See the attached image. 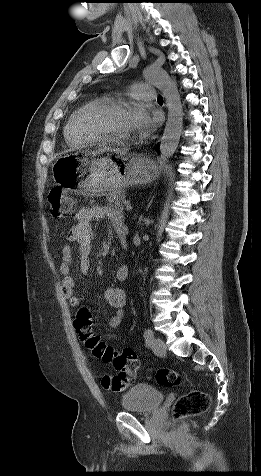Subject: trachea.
Here are the masks:
<instances>
[{
	"instance_id": "1",
	"label": "trachea",
	"mask_w": 261,
	"mask_h": 476,
	"mask_svg": "<svg viewBox=\"0 0 261 476\" xmlns=\"http://www.w3.org/2000/svg\"><path fill=\"white\" fill-rule=\"evenodd\" d=\"M162 100H163L162 96H159V97H158V101H161V102H162Z\"/></svg>"
}]
</instances>
